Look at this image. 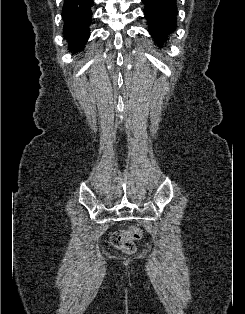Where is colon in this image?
<instances>
[{
  "mask_svg": "<svg viewBox=\"0 0 245 314\" xmlns=\"http://www.w3.org/2000/svg\"><path fill=\"white\" fill-rule=\"evenodd\" d=\"M142 237V231L137 226H132L127 230L117 231L111 236V243L123 251L131 254L135 251V241Z\"/></svg>",
  "mask_w": 245,
  "mask_h": 314,
  "instance_id": "5ec220e1",
  "label": "colon"
}]
</instances>
